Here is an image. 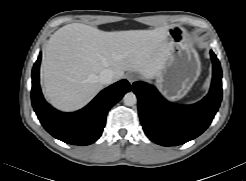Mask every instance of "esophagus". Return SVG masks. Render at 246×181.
I'll return each instance as SVG.
<instances>
[{
	"label": "esophagus",
	"instance_id": "34e87169",
	"mask_svg": "<svg viewBox=\"0 0 246 181\" xmlns=\"http://www.w3.org/2000/svg\"><path fill=\"white\" fill-rule=\"evenodd\" d=\"M138 79V75L136 73H129L127 75V80L132 85Z\"/></svg>",
	"mask_w": 246,
	"mask_h": 181
}]
</instances>
